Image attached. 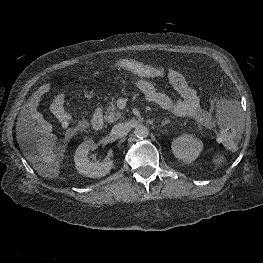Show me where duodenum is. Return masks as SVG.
Returning <instances> with one entry per match:
<instances>
[{
    "label": "duodenum",
    "mask_w": 263,
    "mask_h": 263,
    "mask_svg": "<svg viewBox=\"0 0 263 263\" xmlns=\"http://www.w3.org/2000/svg\"><path fill=\"white\" fill-rule=\"evenodd\" d=\"M91 126L96 131L101 130L104 126L103 114L99 108H97L93 113Z\"/></svg>",
    "instance_id": "duodenum-1"
}]
</instances>
